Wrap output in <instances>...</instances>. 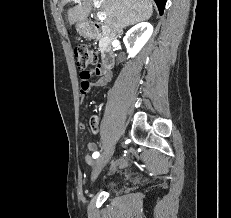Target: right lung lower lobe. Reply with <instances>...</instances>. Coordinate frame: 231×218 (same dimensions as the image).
Masks as SVG:
<instances>
[{
    "label": "right lung lower lobe",
    "instance_id": "98d812e1",
    "mask_svg": "<svg viewBox=\"0 0 231 218\" xmlns=\"http://www.w3.org/2000/svg\"><path fill=\"white\" fill-rule=\"evenodd\" d=\"M154 1L157 4V7H158L159 12H160V15H162L167 0H154Z\"/></svg>",
    "mask_w": 231,
    "mask_h": 218
}]
</instances>
